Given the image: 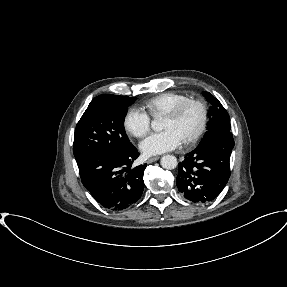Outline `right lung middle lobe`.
<instances>
[{
  "instance_id": "dd1d6c3e",
  "label": "right lung middle lobe",
  "mask_w": 287,
  "mask_h": 287,
  "mask_svg": "<svg viewBox=\"0 0 287 287\" xmlns=\"http://www.w3.org/2000/svg\"><path fill=\"white\" fill-rule=\"evenodd\" d=\"M135 100L136 97L104 94L91 101L75 129L73 153L78 166L98 152L134 148L125 132L124 118L127 107Z\"/></svg>"
}]
</instances>
